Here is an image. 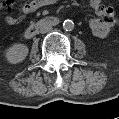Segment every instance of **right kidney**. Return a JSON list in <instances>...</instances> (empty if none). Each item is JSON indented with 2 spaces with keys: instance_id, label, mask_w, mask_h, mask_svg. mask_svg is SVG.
I'll return each mask as SVG.
<instances>
[{
  "instance_id": "obj_1",
  "label": "right kidney",
  "mask_w": 119,
  "mask_h": 119,
  "mask_svg": "<svg viewBox=\"0 0 119 119\" xmlns=\"http://www.w3.org/2000/svg\"><path fill=\"white\" fill-rule=\"evenodd\" d=\"M28 51L29 49L26 45L14 44L7 50L6 58L10 63L16 64L22 62L26 58Z\"/></svg>"
}]
</instances>
